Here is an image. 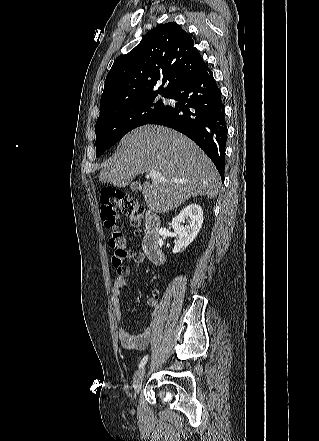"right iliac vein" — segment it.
Returning <instances> with one entry per match:
<instances>
[{
    "mask_svg": "<svg viewBox=\"0 0 319 441\" xmlns=\"http://www.w3.org/2000/svg\"><path fill=\"white\" fill-rule=\"evenodd\" d=\"M144 375H145V368L142 367L136 372V374L134 376L133 389H134L135 394L139 392V390L142 386Z\"/></svg>",
    "mask_w": 319,
    "mask_h": 441,
    "instance_id": "right-iliac-vein-1",
    "label": "right iliac vein"
}]
</instances>
